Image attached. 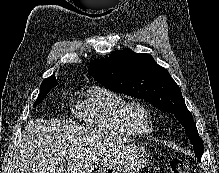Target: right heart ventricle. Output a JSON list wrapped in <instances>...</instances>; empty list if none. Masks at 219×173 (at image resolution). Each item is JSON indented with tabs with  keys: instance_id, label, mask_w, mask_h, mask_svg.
<instances>
[{
	"instance_id": "e07e8e85",
	"label": "right heart ventricle",
	"mask_w": 219,
	"mask_h": 173,
	"mask_svg": "<svg viewBox=\"0 0 219 173\" xmlns=\"http://www.w3.org/2000/svg\"><path fill=\"white\" fill-rule=\"evenodd\" d=\"M125 99L103 86L88 88L73 105L75 117L92 129L121 136H136L122 119Z\"/></svg>"
}]
</instances>
